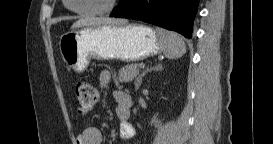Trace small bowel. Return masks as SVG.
I'll list each match as a JSON object with an SVG mask.
<instances>
[{"instance_id": "1", "label": "small bowel", "mask_w": 273, "mask_h": 144, "mask_svg": "<svg viewBox=\"0 0 273 144\" xmlns=\"http://www.w3.org/2000/svg\"><path fill=\"white\" fill-rule=\"evenodd\" d=\"M111 73L109 71H103L99 74L98 81L102 88H107L111 82ZM129 97L122 93L117 92L114 94V100L116 104V114L120 119V138L128 143L131 141L134 135V127L129 121L130 108L124 105V101ZM102 133L96 127H86L76 137L75 144H101Z\"/></svg>"}]
</instances>
